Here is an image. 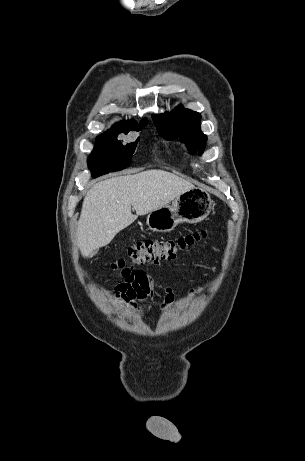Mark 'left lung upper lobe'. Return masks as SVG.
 <instances>
[{
    "label": "left lung upper lobe",
    "instance_id": "obj_1",
    "mask_svg": "<svg viewBox=\"0 0 305 461\" xmlns=\"http://www.w3.org/2000/svg\"><path fill=\"white\" fill-rule=\"evenodd\" d=\"M152 117L162 137L167 140L180 138L192 153L197 150L199 154L203 153L207 138L200 130L201 115L199 113L179 106L170 114H158Z\"/></svg>",
    "mask_w": 305,
    "mask_h": 461
}]
</instances>
